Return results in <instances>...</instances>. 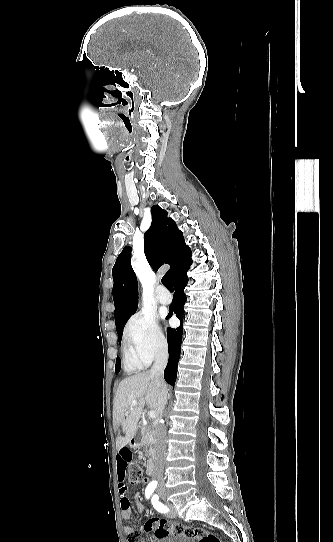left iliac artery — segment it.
Listing matches in <instances>:
<instances>
[{
	"label": "left iliac artery",
	"instance_id": "left-iliac-artery-1",
	"mask_svg": "<svg viewBox=\"0 0 333 542\" xmlns=\"http://www.w3.org/2000/svg\"><path fill=\"white\" fill-rule=\"evenodd\" d=\"M158 498H159V497H158L157 495L153 496V498H152V504H153L154 508H155L158 512H161V513H166V512H168L169 509H168L164 504H162L161 502H159V501H158Z\"/></svg>",
	"mask_w": 333,
	"mask_h": 542
}]
</instances>
